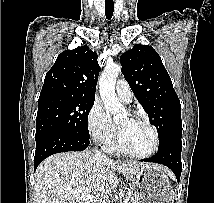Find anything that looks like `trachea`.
Returning a JSON list of instances; mask_svg holds the SVG:
<instances>
[{"label": "trachea", "mask_w": 214, "mask_h": 203, "mask_svg": "<svg viewBox=\"0 0 214 203\" xmlns=\"http://www.w3.org/2000/svg\"><path fill=\"white\" fill-rule=\"evenodd\" d=\"M113 12H114V4H105V15L107 19H111V17L113 16Z\"/></svg>", "instance_id": "1"}]
</instances>
